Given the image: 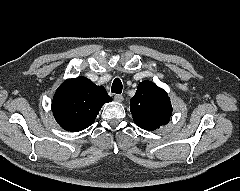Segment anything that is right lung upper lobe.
Masks as SVG:
<instances>
[{"label": "right lung upper lobe", "mask_w": 240, "mask_h": 191, "mask_svg": "<svg viewBox=\"0 0 240 191\" xmlns=\"http://www.w3.org/2000/svg\"><path fill=\"white\" fill-rule=\"evenodd\" d=\"M112 101L103 86H96L86 77L67 79L56 91L52 111L59 125L70 132L89 127L101 107Z\"/></svg>", "instance_id": "right-lung-upper-lobe-1"}]
</instances>
